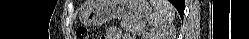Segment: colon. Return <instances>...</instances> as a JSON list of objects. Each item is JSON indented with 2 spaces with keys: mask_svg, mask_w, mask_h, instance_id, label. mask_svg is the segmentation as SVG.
Returning a JSON list of instances; mask_svg holds the SVG:
<instances>
[{
  "mask_svg": "<svg viewBox=\"0 0 249 39\" xmlns=\"http://www.w3.org/2000/svg\"><path fill=\"white\" fill-rule=\"evenodd\" d=\"M77 37L79 39H95L96 35L89 27L83 25L77 29Z\"/></svg>",
  "mask_w": 249,
  "mask_h": 39,
  "instance_id": "colon-1",
  "label": "colon"
}]
</instances>
